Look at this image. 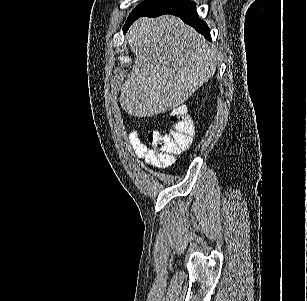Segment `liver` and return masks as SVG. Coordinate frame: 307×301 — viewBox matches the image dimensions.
Instances as JSON below:
<instances>
[{
	"label": "liver",
	"mask_w": 307,
	"mask_h": 301,
	"mask_svg": "<svg viewBox=\"0 0 307 301\" xmlns=\"http://www.w3.org/2000/svg\"><path fill=\"white\" fill-rule=\"evenodd\" d=\"M126 36L135 62L121 86L120 104L134 116L183 104L217 68V48L179 16H141Z\"/></svg>",
	"instance_id": "obj_1"
}]
</instances>
